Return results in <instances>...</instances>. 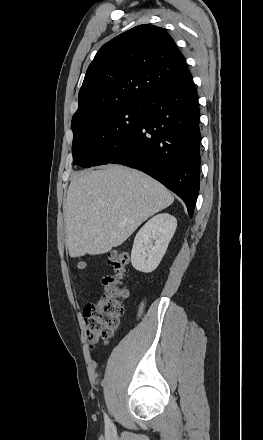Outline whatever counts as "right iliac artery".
<instances>
[{"label": "right iliac artery", "instance_id": "right-iliac-artery-1", "mask_svg": "<svg viewBox=\"0 0 263 440\" xmlns=\"http://www.w3.org/2000/svg\"><path fill=\"white\" fill-rule=\"evenodd\" d=\"M105 422H106L107 425L110 424V419L108 418V416L106 414H105Z\"/></svg>", "mask_w": 263, "mask_h": 440}]
</instances>
